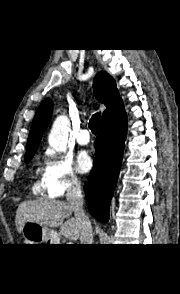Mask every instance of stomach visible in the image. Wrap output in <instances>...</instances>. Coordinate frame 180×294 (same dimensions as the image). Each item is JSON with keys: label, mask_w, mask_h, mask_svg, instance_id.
Returning <instances> with one entry per match:
<instances>
[{"label": "stomach", "mask_w": 180, "mask_h": 294, "mask_svg": "<svg viewBox=\"0 0 180 294\" xmlns=\"http://www.w3.org/2000/svg\"><path fill=\"white\" fill-rule=\"evenodd\" d=\"M22 236L27 244H51L57 239V233L46 226L35 222H26L22 228Z\"/></svg>", "instance_id": "stomach-1"}]
</instances>
